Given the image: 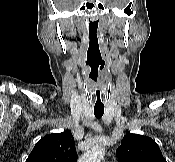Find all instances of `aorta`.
Listing matches in <instances>:
<instances>
[{
    "label": "aorta",
    "instance_id": "1",
    "mask_svg": "<svg viewBox=\"0 0 175 162\" xmlns=\"http://www.w3.org/2000/svg\"><path fill=\"white\" fill-rule=\"evenodd\" d=\"M105 150L102 146H95L80 158L79 162H101L104 158Z\"/></svg>",
    "mask_w": 175,
    "mask_h": 162
}]
</instances>
